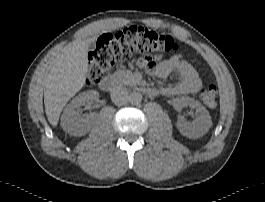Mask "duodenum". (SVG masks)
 Here are the masks:
<instances>
[{"instance_id": "1", "label": "duodenum", "mask_w": 265, "mask_h": 202, "mask_svg": "<svg viewBox=\"0 0 265 202\" xmlns=\"http://www.w3.org/2000/svg\"><path fill=\"white\" fill-rule=\"evenodd\" d=\"M115 86H116V78L113 76L103 77L99 82V87L102 90L110 91V90H113ZM141 91L144 94L149 95V96L155 94L156 92L155 89L151 87H147V86L141 87Z\"/></svg>"}]
</instances>
